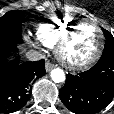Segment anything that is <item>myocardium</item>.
Wrapping results in <instances>:
<instances>
[{
    "label": "myocardium",
    "instance_id": "obj_1",
    "mask_svg": "<svg viewBox=\"0 0 114 114\" xmlns=\"http://www.w3.org/2000/svg\"><path fill=\"white\" fill-rule=\"evenodd\" d=\"M90 23L95 28L97 34H98V44L94 52L86 59L81 61H74L68 58L66 55V49L72 40L76 30L83 24ZM104 47V36L101 27L93 20L90 19H83L80 21L75 22L72 24L67 31L64 33L60 41L58 42L56 46V55L58 59L68 68L75 69V70H81L88 68L93 63H95L103 50Z\"/></svg>",
    "mask_w": 114,
    "mask_h": 114
}]
</instances>
